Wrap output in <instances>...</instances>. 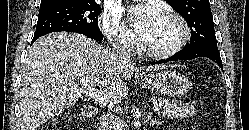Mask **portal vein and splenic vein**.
<instances>
[{
    "label": "portal vein and splenic vein",
    "mask_w": 249,
    "mask_h": 130,
    "mask_svg": "<svg viewBox=\"0 0 249 130\" xmlns=\"http://www.w3.org/2000/svg\"><path fill=\"white\" fill-rule=\"evenodd\" d=\"M80 93L93 98L94 100L98 101L102 105H106L107 98L103 95V93L99 90H96L91 87H80ZM161 109V104H156L153 107V111L157 112Z\"/></svg>",
    "instance_id": "1"
}]
</instances>
